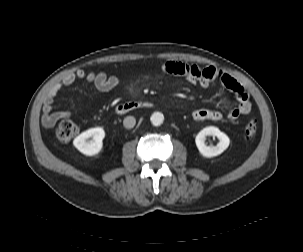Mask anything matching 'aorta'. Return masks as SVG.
I'll list each match as a JSON object with an SVG mask.
<instances>
[{
  "label": "aorta",
  "mask_w": 303,
  "mask_h": 252,
  "mask_svg": "<svg viewBox=\"0 0 303 252\" xmlns=\"http://www.w3.org/2000/svg\"><path fill=\"white\" fill-rule=\"evenodd\" d=\"M151 123L155 126H158V125H161L164 121V116L162 113L160 112H154L152 115H151Z\"/></svg>",
  "instance_id": "aorta-1"
}]
</instances>
